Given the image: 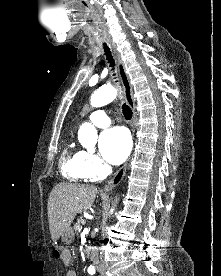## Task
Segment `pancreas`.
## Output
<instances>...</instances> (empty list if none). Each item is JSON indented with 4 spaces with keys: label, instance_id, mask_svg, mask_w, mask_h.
<instances>
[{
    "label": "pancreas",
    "instance_id": "obj_1",
    "mask_svg": "<svg viewBox=\"0 0 221 276\" xmlns=\"http://www.w3.org/2000/svg\"><path fill=\"white\" fill-rule=\"evenodd\" d=\"M81 223H82V218H78L77 222L74 224V229L76 232H80L81 230Z\"/></svg>",
    "mask_w": 221,
    "mask_h": 276
}]
</instances>
